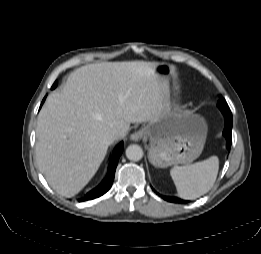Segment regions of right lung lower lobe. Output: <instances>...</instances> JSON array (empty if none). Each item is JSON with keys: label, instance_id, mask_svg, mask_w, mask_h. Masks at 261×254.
<instances>
[{"label": "right lung lower lobe", "instance_id": "right-lung-lower-lobe-1", "mask_svg": "<svg viewBox=\"0 0 261 254\" xmlns=\"http://www.w3.org/2000/svg\"><path fill=\"white\" fill-rule=\"evenodd\" d=\"M56 85H57V82L54 83L52 88H55ZM44 100H45V98L43 99L42 104H43ZM122 152H123V142H121L118 145V147L115 149L112 159L110 161L109 167H108L107 175L104 178V180L96 188H94L93 190L88 192L85 197L80 199L79 200L80 202L98 198L110 189V187L113 183V180H114V175H115V170H116V167L118 164V160H119V157L121 156Z\"/></svg>", "mask_w": 261, "mask_h": 254}]
</instances>
